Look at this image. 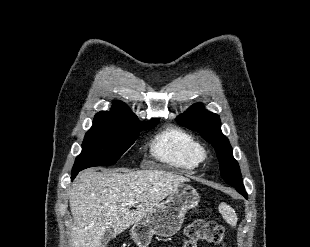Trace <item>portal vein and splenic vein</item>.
<instances>
[{"mask_svg":"<svg viewBox=\"0 0 310 247\" xmlns=\"http://www.w3.org/2000/svg\"><path fill=\"white\" fill-rule=\"evenodd\" d=\"M135 204V201L133 199H131L129 202H128V206H133Z\"/></svg>","mask_w":310,"mask_h":247,"instance_id":"1","label":"portal vein and splenic vein"}]
</instances>
